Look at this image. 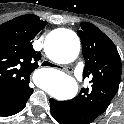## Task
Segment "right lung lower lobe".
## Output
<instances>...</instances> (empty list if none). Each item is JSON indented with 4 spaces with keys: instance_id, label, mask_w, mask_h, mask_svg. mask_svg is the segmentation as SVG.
<instances>
[{
    "instance_id": "98d812e1",
    "label": "right lung lower lobe",
    "mask_w": 124,
    "mask_h": 124,
    "mask_svg": "<svg viewBox=\"0 0 124 124\" xmlns=\"http://www.w3.org/2000/svg\"><path fill=\"white\" fill-rule=\"evenodd\" d=\"M29 97L30 95L26 97L24 100H22L21 102L16 104L0 106V116H11L20 112L25 108L26 102Z\"/></svg>"
}]
</instances>
